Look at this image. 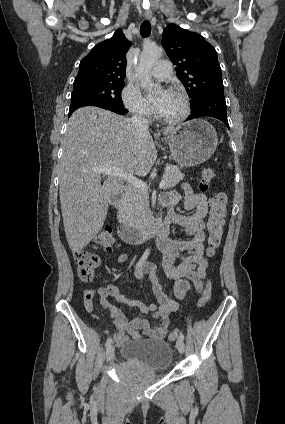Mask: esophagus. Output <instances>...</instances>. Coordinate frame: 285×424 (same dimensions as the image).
Instances as JSON below:
<instances>
[{
    "instance_id": "obj_1",
    "label": "esophagus",
    "mask_w": 285,
    "mask_h": 424,
    "mask_svg": "<svg viewBox=\"0 0 285 424\" xmlns=\"http://www.w3.org/2000/svg\"><path fill=\"white\" fill-rule=\"evenodd\" d=\"M144 16H145V18L146 19H151V17H152V12L151 11H146L145 13H144Z\"/></svg>"
}]
</instances>
